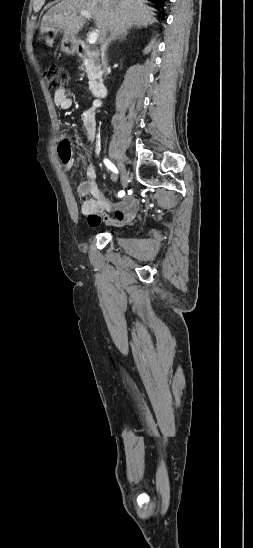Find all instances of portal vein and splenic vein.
Returning a JSON list of instances; mask_svg holds the SVG:
<instances>
[{
	"mask_svg": "<svg viewBox=\"0 0 253 548\" xmlns=\"http://www.w3.org/2000/svg\"><path fill=\"white\" fill-rule=\"evenodd\" d=\"M80 15L82 17H85V18H88L90 19L92 17L91 13L89 11H86V10H81L80 12ZM98 31H93L89 34L88 38H87V42L90 44V45H93L96 43L97 39H98Z\"/></svg>",
	"mask_w": 253,
	"mask_h": 548,
	"instance_id": "obj_1",
	"label": "portal vein and splenic vein"
}]
</instances>
